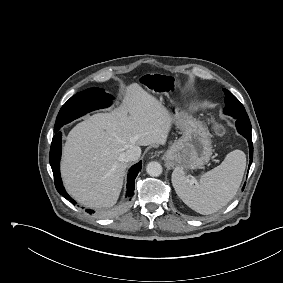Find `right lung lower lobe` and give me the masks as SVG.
<instances>
[{
  "instance_id": "98d812e1",
  "label": "right lung lower lobe",
  "mask_w": 283,
  "mask_h": 283,
  "mask_svg": "<svg viewBox=\"0 0 283 283\" xmlns=\"http://www.w3.org/2000/svg\"><path fill=\"white\" fill-rule=\"evenodd\" d=\"M62 140V133L60 131L56 132L52 139V144L50 148V165L54 175L55 187L57 191L66 199H71V197L67 194L63 187V183L60 176V158H61V142ZM142 163L141 161L137 164L133 165L128 173V180H127V197H131L133 195V191L135 188L134 182L137 174L141 170ZM72 202L75 203L74 200ZM89 214L94 213L93 210L87 209L86 210Z\"/></svg>"
}]
</instances>
